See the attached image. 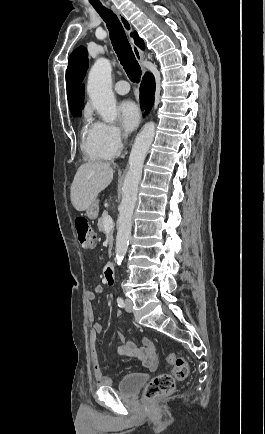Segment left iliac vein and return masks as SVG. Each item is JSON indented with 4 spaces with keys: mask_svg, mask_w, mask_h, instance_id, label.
I'll use <instances>...</instances> for the list:
<instances>
[{
    "mask_svg": "<svg viewBox=\"0 0 265 434\" xmlns=\"http://www.w3.org/2000/svg\"><path fill=\"white\" fill-rule=\"evenodd\" d=\"M125 309H126L127 312H132L133 311V303H132L131 299H126Z\"/></svg>",
    "mask_w": 265,
    "mask_h": 434,
    "instance_id": "1",
    "label": "left iliac vein"
}]
</instances>
